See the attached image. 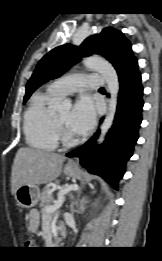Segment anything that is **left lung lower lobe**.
<instances>
[{
	"label": "left lung lower lobe",
	"instance_id": "left-lung-lower-lobe-1",
	"mask_svg": "<svg viewBox=\"0 0 162 261\" xmlns=\"http://www.w3.org/2000/svg\"><path fill=\"white\" fill-rule=\"evenodd\" d=\"M120 91L114 124L100 146L97 132L80 148L66 154L78 157L88 171L103 177L115 189L123 177L125 164L132 156L142 121L143 86L138 61L128 64L119 73Z\"/></svg>",
	"mask_w": 162,
	"mask_h": 261
}]
</instances>
